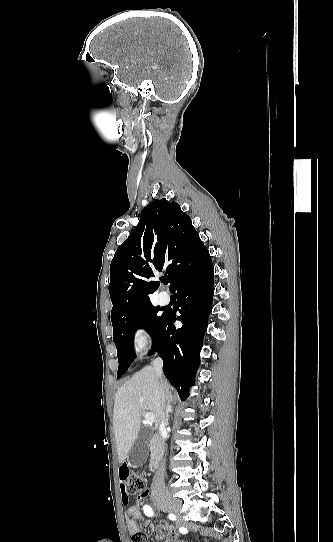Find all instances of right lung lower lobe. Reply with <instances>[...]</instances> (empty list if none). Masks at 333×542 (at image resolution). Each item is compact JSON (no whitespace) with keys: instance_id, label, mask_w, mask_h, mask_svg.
<instances>
[{"instance_id":"98d812e1","label":"right lung lower lobe","mask_w":333,"mask_h":542,"mask_svg":"<svg viewBox=\"0 0 333 542\" xmlns=\"http://www.w3.org/2000/svg\"><path fill=\"white\" fill-rule=\"evenodd\" d=\"M170 290L177 298L180 316L176 311L165 312L149 355L157 352L163 359L165 376L185 400L195 382L214 294V268L201 240L177 252ZM176 320L183 323L179 329Z\"/></svg>"}]
</instances>
